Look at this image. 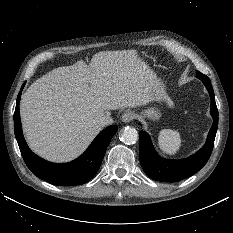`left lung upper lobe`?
<instances>
[{
	"instance_id": "left-lung-upper-lobe-1",
	"label": "left lung upper lobe",
	"mask_w": 233,
	"mask_h": 233,
	"mask_svg": "<svg viewBox=\"0 0 233 233\" xmlns=\"http://www.w3.org/2000/svg\"><path fill=\"white\" fill-rule=\"evenodd\" d=\"M196 74H197L196 77L201 76V75H204V74H202V73H200V72H198V71L196 72Z\"/></svg>"
}]
</instances>
